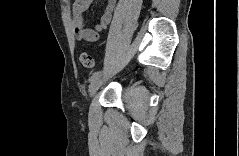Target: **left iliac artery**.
Returning <instances> with one entry per match:
<instances>
[{
  "instance_id": "obj_1",
  "label": "left iliac artery",
  "mask_w": 239,
  "mask_h": 156,
  "mask_svg": "<svg viewBox=\"0 0 239 156\" xmlns=\"http://www.w3.org/2000/svg\"><path fill=\"white\" fill-rule=\"evenodd\" d=\"M101 73H102L101 71L94 72L92 76L90 77L89 82L92 83L96 78H98L101 75Z\"/></svg>"
}]
</instances>
